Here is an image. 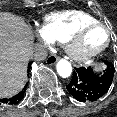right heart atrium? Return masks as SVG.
<instances>
[{
    "mask_svg": "<svg viewBox=\"0 0 117 117\" xmlns=\"http://www.w3.org/2000/svg\"><path fill=\"white\" fill-rule=\"evenodd\" d=\"M37 34L46 45L52 44V39L48 36L43 27L37 28Z\"/></svg>",
    "mask_w": 117,
    "mask_h": 117,
    "instance_id": "d8ad5b80",
    "label": "right heart atrium"
}]
</instances>
